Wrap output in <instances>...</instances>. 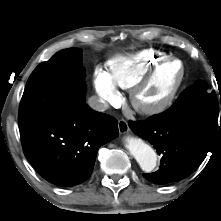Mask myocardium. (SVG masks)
<instances>
[{"label": "myocardium", "mask_w": 221, "mask_h": 221, "mask_svg": "<svg viewBox=\"0 0 221 221\" xmlns=\"http://www.w3.org/2000/svg\"><path fill=\"white\" fill-rule=\"evenodd\" d=\"M171 62H179L181 64V76L170 92V94L160 102L154 104H145L139 100L140 92L151 82L155 74L161 69L163 66L171 63ZM186 66L185 63L175 57H167L163 60H160L155 65H153L145 75H143L137 82H135L129 88V100L132 107L141 115L144 116H156L162 114L163 112L167 111L177 99L184 83L186 80Z\"/></svg>", "instance_id": "obj_1"}]
</instances>
